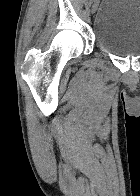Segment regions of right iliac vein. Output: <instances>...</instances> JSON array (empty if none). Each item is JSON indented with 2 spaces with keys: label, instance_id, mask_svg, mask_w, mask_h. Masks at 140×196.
<instances>
[{
  "label": "right iliac vein",
  "instance_id": "1",
  "mask_svg": "<svg viewBox=\"0 0 140 196\" xmlns=\"http://www.w3.org/2000/svg\"><path fill=\"white\" fill-rule=\"evenodd\" d=\"M97 2H95L94 4H93V6H92V13L94 14L95 12H96V10H97Z\"/></svg>",
  "mask_w": 140,
  "mask_h": 196
}]
</instances>
